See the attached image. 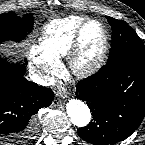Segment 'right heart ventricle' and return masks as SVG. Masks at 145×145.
Instances as JSON below:
<instances>
[{
	"mask_svg": "<svg viewBox=\"0 0 145 145\" xmlns=\"http://www.w3.org/2000/svg\"><path fill=\"white\" fill-rule=\"evenodd\" d=\"M86 17L72 15L51 20L44 28L37 51L41 56L60 61L68 56L78 27Z\"/></svg>",
	"mask_w": 145,
	"mask_h": 145,
	"instance_id": "e07e8e85",
	"label": "right heart ventricle"
}]
</instances>
